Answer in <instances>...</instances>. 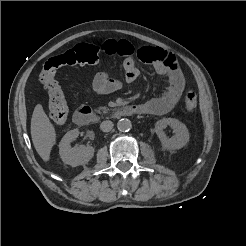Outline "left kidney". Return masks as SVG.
I'll list each match as a JSON object with an SVG mask.
<instances>
[{
  "label": "left kidney",
  "instance_id": "1",
  "mask_svg": "<svg viewBox=\"0 0 246 246\" xmlns=\"http://www.w3.org/2000/svg\"><path fill=\"white\" fill-rule=\"evenodd\" d=\"M170 126L175 135L167 138L164 129ZM155 132L161 141L162 147L166 150L181 149L189 142V131L185 124L175 118H163L156 122Z\"/></svg>",
  "mask_w": 246,
  "mask_h": 246
}]
</instances>
